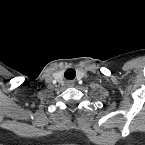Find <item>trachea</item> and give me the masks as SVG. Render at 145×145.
I'll return each instance as SVG.
<instances>
[{
	"label": "trachea",
	"mask_w": 145,
	"mask_h": 145,
	"mask_svg": "<svg viewBox=\"0 0 145 145\" xmlns=\"http://www.w3.org/2000/svg\"><path fill=\"white\" fill-rule=\"evenodd\" d=\"M75 75L76 73L74 69H68L65 71V74H64L65 78L70 79V80L74 79Z\"/></svg>",
	"instance_id": "trachea-1"
}]
</instances>
